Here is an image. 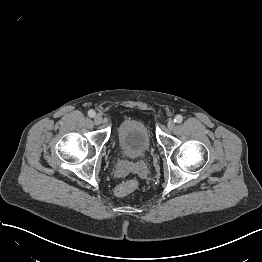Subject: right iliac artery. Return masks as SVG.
<instances>
[{
	"instance_id": "right-iliac-artery-1",
	"label": "right iliac artery",
	"mask_w": 262,
	"mask_h": 262,
	"mask_svg": "<svg viewBox=\"0 0 262 262\" xmlns=\"http://www.w3.org/2000/svg\"><path fill=\"white\" fill-rule=\"evenodd\" d=\"M88 116H89V117H94V116H95V111L89 110V111H88Z\"/></svg>"
}]
</instances>
